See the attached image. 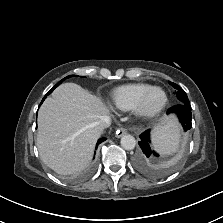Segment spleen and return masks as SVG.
I'll use <instances>...</instances> for the list:
<instances>
[{
  "label": "spleen",
  "instance_id": "3e777b00",
  "mask_svg": "<svg viewBox=\"0 0 223 223\" xmlns=\"http://www.w3.org/2000/svg\"><path fill=\"white\" fill-rule=\"evenodd\" d=\"M180 138V127L172 124L166 129L154 133L152 135V144L154 149L161 155H171L178 150Z\"/></svg>",
  "mask_w": 223,
  "mask_h": 223
}]
</instances>
